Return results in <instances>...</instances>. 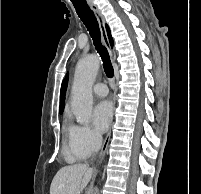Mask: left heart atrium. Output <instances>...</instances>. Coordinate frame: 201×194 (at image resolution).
Wrapping results in <instances>:
<instances>
[{"mask_svg":"<svg viewBox=\"0 0 201 194\" xmlns=\"http://www.w3.org/2000/svg\"><path fill=\"white\" fill-rule=\"evenodd\" d=\"M113 116V107L108 101L99 102L93 109V123L99 132H105Z\"/></svg>","mask_w":201,"mask_h":194,"instance_id":"39dd6f15","label":"left heart atrium"}]
</instances>
